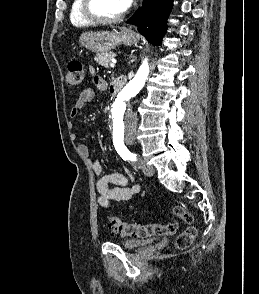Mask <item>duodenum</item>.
<instances>
[{
  "label": "duodenum",
  "instance_id": "1",
  "mask_svg": "<svg viewBox=\"0 0 259 294\" xmlns=\"http://www.w3.org/2000/svg\"><path fill=\"white\" fill-rule=\"evenodd\" d=\"M125 83L126 81L124 77L117 78L112 85L113 92L115 94L119 93L121 89L124 87Z\"/></svg>",
  "mask_w": 259,
  "mask_h": 294
}]
</instances>
